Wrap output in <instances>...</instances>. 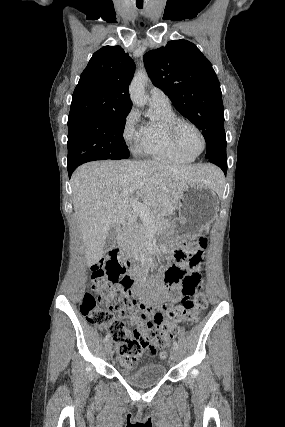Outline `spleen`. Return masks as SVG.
I'll return each instance as SVG.
<instances>
[{"label":"spleen","instance_id":"3e777b00","mask_svg":"<svg viewBox=\"0 0 285 427\" xmlns=\"http://www.w3.org/2000/svg\"><path fill=\"white\" fill-rule=\"evenodd\" d=\"M223 176H222V174H220L219 175V177H218V182H217V186H216V189H217V191L219 192V191H222L223 190Z\"/></svg>","mask_w":285,"mask_h":427}]
</instances>
